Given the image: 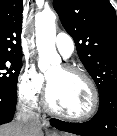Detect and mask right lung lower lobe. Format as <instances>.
<instances>
[{"label": "right lung lower lobe", "instance_id": "right-lung-lower-lobe-1", "mask_svg": "<svg viewBox=\"0 0 117 136\" xmlns=\"http://www.w3.org/2000/svg\"><path fill=\"white\" fill-rule=\"evenodd\" d=\"M16 103V92L0 91V125L12 121Z\"/></svg>", "mask_w": 117, "mask_h": 136}]
</instances>
